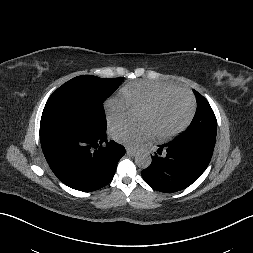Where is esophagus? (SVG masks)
Returning a JSON list of instances; mask_svg holds the SVG:
<instances>
[{
  "mask_svg": "<svg viewBox=\"0 0 253 253\" xmlns=\"http://www.w3.org/2000/svg\"><path fill=\"white\" fill-rule=\"evenodd\" d=\"M127 154L135 156L136 155V150L132 148H127L126 149Z\"/></svg>",
  "mask_w": 253,
  "mask_h": 253,
  "instance_id": "34e87169",
  "label": "esophagus"
}]
</instances>
